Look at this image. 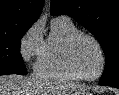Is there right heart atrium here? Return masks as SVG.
<instances>
[{
	"mask_svg": "<svg viewBox=\"0 0 119 95\" xmlns=\"http://www.w3.org/2000/svg\"><path fill=\"white\" fill-rule=\"evenodd\" d=\"M42 26L39 22L33 23L23 34L20 40V54L27 63L38 59L43 45Z\"/></svg>",
	"mask_w": 119,
	"mask_h": 95,
	"instance_id": "right-heart-atrium-1",
	"label": "right heart atrium"
}]
</instances>
